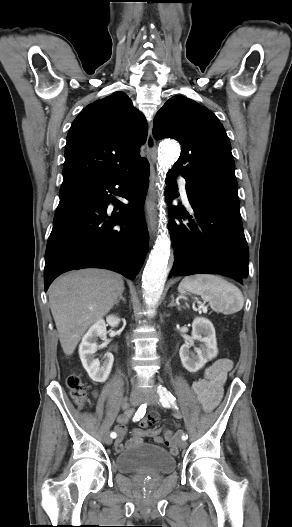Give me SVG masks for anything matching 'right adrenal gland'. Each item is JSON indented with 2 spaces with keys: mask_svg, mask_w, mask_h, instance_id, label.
Segmentation results:
<instances>
[{
  "mask_svg": "<svg viewBox=\"0 0 292 527\" xmlns=\"http://www.w3.org/2000/svg\"><path fill=\"white\" fill-rule=\"evenodd\" d=\"M121 300H122L123 302H126V299L123 297L122 294H120L119 298H118L117 301L115 302V305L118 306Z\"/></svg>",
  "mask_w": 292,
  "mask_h": 527,
  "instance_id": "obj_1",
  "label": "right adrenal gland"
}]
</instances>
